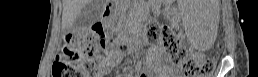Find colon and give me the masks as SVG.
I'll use <instances>...</instances> for the list:
<instances>
[{
  "label": "colon",
  "mask_w": 258,
  "mask_h": 77,
  "mask_svg": "<svg viewBox=\"0 0 258 77\" xmlns=\"http://www.w3.org/2000/svg\"><path fill=\"white\" fill-rule=\"evenodd\" d=\"M147 42L157 43L168 54L173 65L181 68L185 77H206L214 70L210 59H198L182 45L179 36L166 25L151 22L146 26ZM120 43L111 39V34L98 28L91 34H68L53 66V77H88L100 65V50L118 52Z\"/></svg>",
  "instance_id": "5ec220e1"
}]
</instances>
